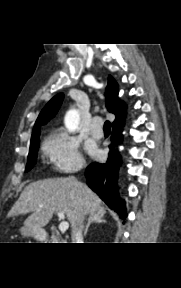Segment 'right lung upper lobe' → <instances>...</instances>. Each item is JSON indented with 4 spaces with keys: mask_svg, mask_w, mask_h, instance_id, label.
<instances>
[{
    "mask_svg": "<svg viewBox=\"0 0 181 288\" xmlns=\"http://www.w3.org/2000/svg\"><path fill=\"white\" fill-rule=\"evenodd\" d=\"M117 95L118 84L112 76H109L108 85L105 92V102L109 112L115 114L116 116L112 126H121V123L124 121L126 115L125 105L117 99ZM62 100L63 94L60 93L54 96L42 109L33 128L31 142L39 138L41 126L46 124L51 118L54 117L62 103Z\"/></svg>",
    "mask_w": 181,
    "mask_h": 288,
    "instance_id": "1",
    "label": "right lung upper lobe"
}]
</instances>
